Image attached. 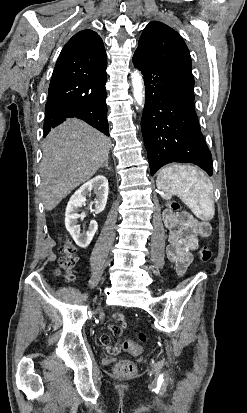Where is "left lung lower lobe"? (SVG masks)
<instances>
[{"mask_svg":"<svg viewBox=\"0 0 247 413\" xmlns=\"http://www.w3.org/2000/svg\"><path fill=\"white\" fill-rule=\"evenodd\" d=\"M144 78L146 101L141 120L151 175L171 162L193 163L213 173L212 156L195 112L194 84L135 53Z\"/></svg>","mask_w":247,"mask_h":413,"instance_id":"obj_1","label":"left lung lower lobe"}]
</instances>
